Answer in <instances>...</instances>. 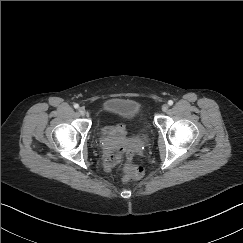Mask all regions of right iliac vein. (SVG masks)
<instances>
[{"label": "right iliac vein", "instance_id": "obj_1", "mask_svg": "<svg viewBox=\"0 0 243 243\" xmlns=\"http://www.w3.org/2000/svg\"><path fill=\"white\" fill-rule=\"evenodd\" d=\"M78 112H79L80 115L84 116L85 113H86V110H85V108L80 107V108L78 109Z\"/></svg>", "mask_w": 243, "mask_h": 243}]
</instances>
